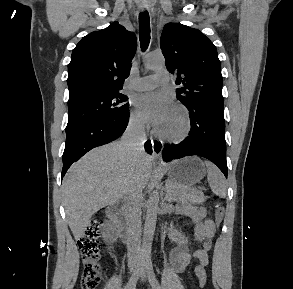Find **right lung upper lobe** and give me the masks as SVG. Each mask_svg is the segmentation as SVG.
<instances>
[{
  "label": "right lung upper lobe",
  "instance_id": "obj_1",
  "mask_svg": "<svg viewBox=\"0 0 293 289\" xmlns=\"http://www.w3.org/2000/svg\"><path fill=\"white\" fill-rule=\"evenodd\" d=\"M136 48L135 34L118 22L83 37L73 49L68 65L69 101L120 92Z\"/></svg>",
  "mask_w": 293,
  "mask_h": 289
}]
</instances>
